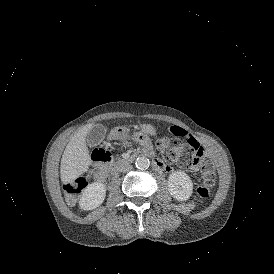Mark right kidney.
<instances>
[{"label":"right kidney","instance_id":"right-kidney-1","mask_svg":"<svg viewBox=\"0 0 274 274\" xmlns=\"http://www.w3.org/2000/svg\"><path fill=\"white\" fill-rule=\"evenodd\" d=\"M105 187L98 182L88 185L82 194L79 205L84 210H91L99 205L104 200L105 197Z\"/></svg>","mask_w":274,"mask_h":274}]
</instances>
